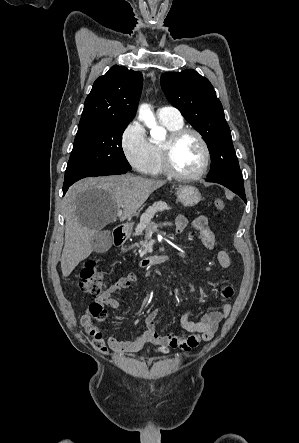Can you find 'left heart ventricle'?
I'll use <instances>...</instances> for the list:
<instances>
[{
	"label": "left heart ventricle",
	"mask_w": 299,
	"mask_h": 443,
	"mask_svg": "<svg viewBox=\"0 0 299 443\" xmlns=\"http://www.w3.org/2000/svg\"><path fill=\"white\" fill-rule=\"evenodd\" d=\"M203 157L200 142L194 135L188 134L176 144L172 154V163L180 173L193 174L200 169Z\"/></svg>",
	"instance_id": "b2bd125f"
}]
</instances>
